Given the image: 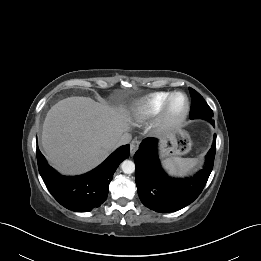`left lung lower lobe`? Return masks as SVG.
Instances as JSON below:
<instances>
[{
    "label": "left lung lower lobe",
    "instance_id": "1",
    "mask_svg": "<svg viewBox=\"0 0 261 261\" xmlns=\"http://www.w3.org/2000/svg\"><path fill=\"white\" fill-rule=\"evenodd\" d=\"M207 121L215 127L214 120ZM157 143L156 138L144 139L134 155L137 191L141 202L151 210L174 212L192 203L202 192L213 169L216 135L207 153L204 169L187 179L166 175L157 156Z\"/></svg>",
    "mask_w": 261,
    "mask_h": 261
}]
</instances>
